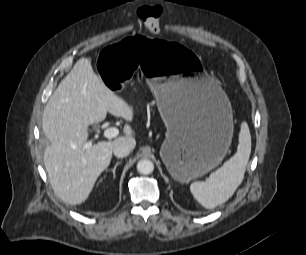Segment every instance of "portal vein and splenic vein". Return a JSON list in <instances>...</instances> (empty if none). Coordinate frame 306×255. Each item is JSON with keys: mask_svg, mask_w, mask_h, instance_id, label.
I'll return each instance as SVG.
<instances>
[{"mask_svg": "<svg viewBox=\"0 0 306 255\" xmlns=\"http://www.w3.org/2000/svg\"><path fill=\"white\" fill-rule=\"evenodd\" d=\"M118 134L119 130L115 127H109L103 132V136L107 139L115 138L116 136H118ZM89 147H91V143L90 142L85 143L84 148H89Z\"/></svg>", "mask_w": 306, "mask_h": 255, "instance_id": "portal-vein-and-splenic-vein-1", "label": "portal vein and splenic vein"}]
</instances>
